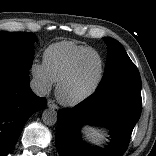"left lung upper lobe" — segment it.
Here are the masks:
<instances>
[{
    "mask_svg": "<svg viewBox=\"0 0 156 156\" xmlns=\"http://www.w3.org/2000/svg\"><path fill=\"white\" fill-rule=\"evenodd\" d=\"M103 40L108 47V58L104 76L96 91L113 86L141 88L139 71L123 46L112 38H103Z\"/></svg>",
    "mask_w": 156,
    "mask_h": 156,
    "instance_id": "obj_1",
    "label": "left lung upper lobe"
}]
</instances>
